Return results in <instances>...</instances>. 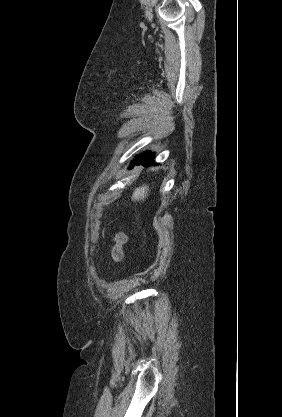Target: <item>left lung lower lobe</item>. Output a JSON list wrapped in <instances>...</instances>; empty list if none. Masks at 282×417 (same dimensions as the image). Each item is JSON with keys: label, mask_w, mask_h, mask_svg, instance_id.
<instances>
[{"label": "left lung lower lobe", "mask_w": 282, "mask_h": 417, "mask_svg": "<svg viewBox=\"0 0 282 417\" xmlns=\"http://www.w3.org/2000/svg\"><path fill=\"white\" fill-rule=\"evenodd\" d=\"M144 165V166H150V165H156L154 163V154L151 152H145L143 154H140L136 160L132 161L131 163V167H129V169H131L134 165Z\"/></svg>", "instance_id": "0a47b994"}]
</instances>
